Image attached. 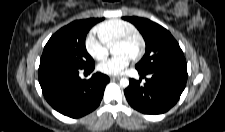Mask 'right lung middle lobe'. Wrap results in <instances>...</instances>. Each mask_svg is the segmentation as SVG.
<instances>
[{"label": "right lung middle lobe", "mask_w": 225, "mask_h": 132, "mask_svg": "<svg viewBox=\"0 0 225 132\" xmlns=\"http://www.w3.org/2000/svg\"><path fill=\"white\" fill-rule=\"evenodd\" d=\"M100 18L78 20L57 31L47 42L40 65L57 64L75 68H88L94 60L87 53L85 38Z\"/></svg>", "instance_id": "dd1d6c3e"}]
</instances>
